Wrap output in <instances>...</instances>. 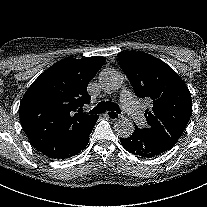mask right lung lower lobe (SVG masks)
<instances>
[{"label": "right lung lower lobe", "mask_w": 207, "mask_h": 207, "mask_svg": "<svg viewBox=\"0 0 207 207\" xmlns=\"http://www.w3.org/2000/svg\"><path fill=\"white\" fill-rule=\"evenodd\" d=\"M97 119L98 116H95L77 135L61 144L57 151H53L46 156L52 159H65L81 152L88 144L89 135Z\"/></svg>", "instance_id": "1"}]
</instances>
